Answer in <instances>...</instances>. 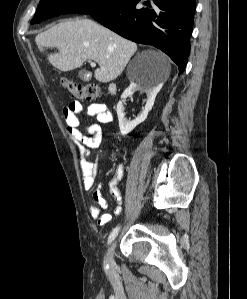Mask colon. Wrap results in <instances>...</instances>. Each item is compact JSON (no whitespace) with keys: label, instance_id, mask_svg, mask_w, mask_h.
Segmentation results:
<instances>
[{"label":"colon","instance_id":"obj_1","mask_svg":"<svg viewBox=\"0 0 247 299\" xmlns=\"http://www.w3.org/2000/svg\"><path fill=\"white\" fill-rule=\"evenodd\" d=\"M64 88L74 97L81 100H94L100 96L101 89L96 84H79L69 78H63Z\"/></svg>","mask_w":247,"mask_h":299}]
</instances>
